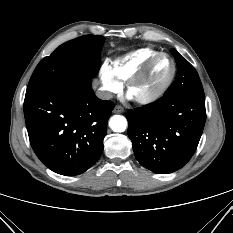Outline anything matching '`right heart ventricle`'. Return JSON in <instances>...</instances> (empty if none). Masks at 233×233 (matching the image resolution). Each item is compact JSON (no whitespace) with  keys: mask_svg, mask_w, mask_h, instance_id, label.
Returning a JSON list of instances; mask_svg holds the SVG:
<instances>
[{"mask_svg":"<svg viewBox=\"0 0 233 233\" xmlns=\"http://www.w3.org/2000/svg\"><path fill=\"white\" fill-rule=\"evenodd\" d=\"M158 53L151 48H142L114 60L109 68L121 83H125Z\"/></svg>","mask_w":233,"mask_h":233,"instance_id":"e07e8e85","label":"right heart ventricle"}]
</instances>
